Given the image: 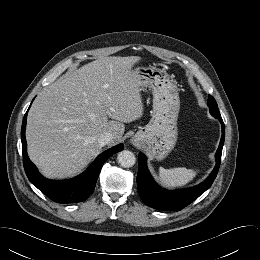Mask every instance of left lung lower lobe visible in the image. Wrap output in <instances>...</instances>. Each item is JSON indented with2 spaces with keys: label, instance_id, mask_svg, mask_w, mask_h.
<instances>
[{
  "label": "left lung lower lobe",
  "instance_id": "1",
  "mask_svg": "<svg viewBox=\"0 0 260 260\" xmlns=\"http://www.w3.org/2000/svg\"><path fill=\"white\" fill-rule=\"evenodd\" d=\"M218 119L222 125V136L219 148L215 155L216 166L214 167L210 176L195 187L174 191H168L159 187L156 185L147 169L146 157L142 154H139V170L137 175L138 193L146 205L162 211H179L192 203L212 185L219 170L222 148L225 139L224 122L221 117Z\"/></svg>",
  "mask_w": 260,
  "mask_h": 260
}]
</instances>
